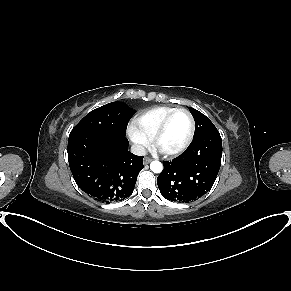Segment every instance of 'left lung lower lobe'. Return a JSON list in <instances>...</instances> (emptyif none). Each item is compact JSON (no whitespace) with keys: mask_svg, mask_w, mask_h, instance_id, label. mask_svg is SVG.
Here are the masks:
<instances>
[{"mask_svg":"<svg viewBox=\"0 0 291 291\" xmlns=\"http://www.w3.org/2000/svg\"><path fill=\"white\" fill-rule=\"evenodd\" d=\"M222 140L219 132L193 140L172 161H164L157 178L161 194L171 201L189 203L213 186L221 165Z\"/></svg>","mask_w":291,"mask_h":291,"instance_id":"0a47b994","label":"left lung lower lobe"}]
</instances>
